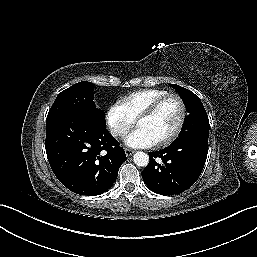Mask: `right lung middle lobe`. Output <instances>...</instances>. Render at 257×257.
Returning <instances> with one entry per match:
<instances>
[{
  "label": "right lung middle lobe",
  "instance_id": "right-lung-middle-lobe-1",
  "mask_svg": "<svg viewBox=\"0 0 257 257\" xmlns=\"http://www.w3.org/2000/svg\"><path fill=\"white\" fill-rule=\"evenodd\" d=\"M93 87L92 83L82 81L62 91L55 99L47 117L69 111L79 112L106 127L104 112L97 109L93 103Z\"/></svg>",
  "mask_w": 257,
  "mask_h": 257
}]
</instances>
